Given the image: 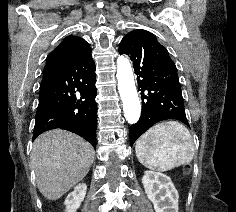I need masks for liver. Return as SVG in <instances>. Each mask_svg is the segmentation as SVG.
<instances>
[{"label":"liver","instance_id":"6515ba94","mask_svg":"<svg viewBox=\"0 0 236 212\" xmlns=\"http://www.w3.org/2000/svg\"><path fill=\"white\" fill-rule=\"evenodd\" d=\"M94 157L93 147L78 135L62 129L41 134L31 152L40 193L59 199L87 175Z\"/></svg>","mask_w":236,"mask_h":212}]
</instances>
